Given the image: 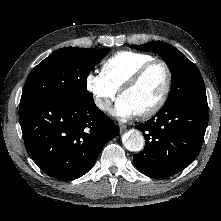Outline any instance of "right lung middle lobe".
<instances>
[{"label":"right lung middle lobe","mask_w":221,"mask_h":221,"mask_svg":"<svg viewBox=\"0 0 221 221\" xmlns=\"http://www.w3.org/2000/svg\"><path fill=\"white\" fill-rule=\"evenodd\" d=\"M109 50L76 47L59 49L30 72L21 101L92 99L86 89L87 77Z\"/></svg>","instance_id":"right-lung-middle-lobe-1"}]
</instances>
